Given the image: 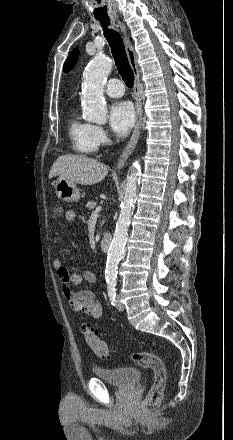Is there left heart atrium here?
Listing matches in <instances>:
<instances>
[{"mask_svg":"<svg viewBox=\"0 0 233 440\" xmlns=\"http://www.w3.org/2000/svg\"><path fill=\"white\" fill-rule=\"evenodd\" d=\"M135 122V113L129 102H115L110 107L109 125L119 136L125 135Z\"/></svg>","mask_w":233,"mask_h":440,"instance_id":"39dd6f15","label":"left heart atrium"}]
</instances>
